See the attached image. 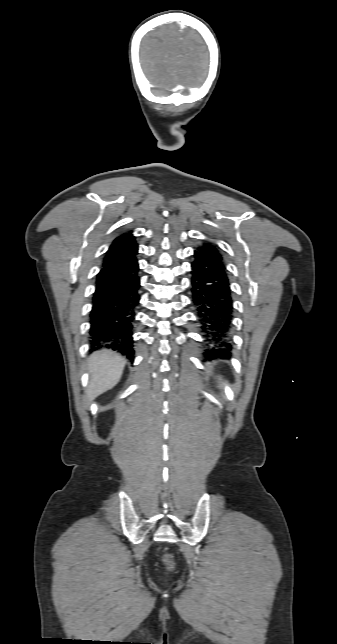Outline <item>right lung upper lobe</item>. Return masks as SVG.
Here are the masks:
<instances>
[{
  "mask_svg": "<svg viewBox=\"0 0 337 644\" xmlns=\"http://www.w3.org/2000/svg\"><path fill=\"white\" fill-rule=\"evenodd\" d=\"M138 252V245L135 237L129 233H124L117 237L111 244L103 265H108L125 259L134 258Z\"/></svg>",
  "mask_w": 337,
  "mask_h": 644,
  "instance_id": "right-lung-upper-lobe-1",
  "label": "right lung upper lobe"
}]
</instances>
